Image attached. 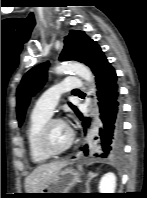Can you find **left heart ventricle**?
<instances>
[{"label":"left heart ventricle","mask_w":147,"mask_h":198,"mask_svg":"<svg viewBox=\"0 0 147 198\" xmlns=\"http://www.w3.org/2000/svg\"><path fill=\"white\" fill-rule=\"evenodd\" d=\"M69 129L62 122H57L51 125L49 130L50 144L55 149L62 148L69 140Z\"/></svg>","instance_id":"obj_1"}]
</instances>
